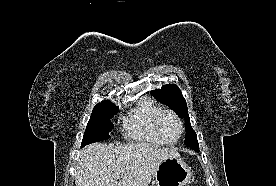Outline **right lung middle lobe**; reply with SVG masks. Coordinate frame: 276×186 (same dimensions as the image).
Wrapping results in <instances>:
<instances>
[{
  "mask_svg": "<svg viewBox=\"0 0 276 186\" xmlns=\"http://www.w3.org/2000/svg\"><path fill=\"white\" fill-rule=\"evenodd\" d=\"M117 111L118 107L110 101L98 103L92 111L81 146L110 138L109 132L114 128L111 118Z\"/></svg>",
  "mask_w": 276,
  "mask_h": 186,
  "instance_id": "right-lung-middle-lobe-1",
  "label": "right lung middle lobe"
}]
</instances>
